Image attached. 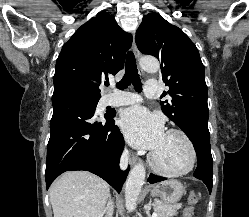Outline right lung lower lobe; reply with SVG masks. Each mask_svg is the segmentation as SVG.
<instances>
[{
	"instance_id": "obj_1",
	"label": "right lung lower lobe",
	"mask_w": 249,
	"mask_h": 217,
	"mask_svg": "<svg viewBox=\"0 0 249 217\" xmlns=\"http://www.w3.org/2000/svg\"><path fill=\"white\" fill-rule=\"evenodd\" d=\"M52 104L45 172L47 189L63 172L84 170L100 176L120 192L129 169H119L124 139L114 125L115 113L96 118L94 108L66 95L53 96Z\"/></svg>"
}]
</instances>
